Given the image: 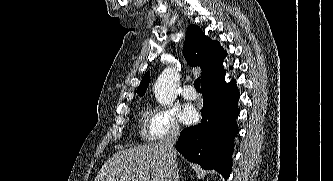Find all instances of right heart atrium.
Masks as SVG:
<instances>
[{"label": "right heart atrium", "mask_w": 333, "mask_h": 181, "mask_svg": "<svg viewBox=\"0 0 333 181\" xmlns=\"http://www.w3.org/2000/svg\"><path fill=\"white\" fill-rule=\"evenodd\" d=\"M148 125L149 135L154 140L177 135L180 131L176 111L170 107L154 108L149 116Z\"/></svg>", "instance_id": "d8ad5b80"}]
</instances>
